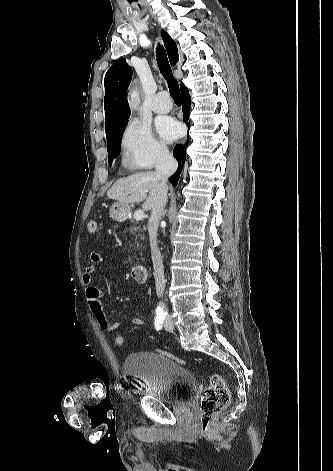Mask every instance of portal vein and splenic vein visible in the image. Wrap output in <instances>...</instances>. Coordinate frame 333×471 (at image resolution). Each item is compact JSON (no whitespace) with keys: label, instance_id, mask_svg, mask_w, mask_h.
<instances>
[{"label":"portal vein and splenic vein","instance_id":"obj_1","mask_svg":"<svg viewBox=\"0 0 333 471\" xmlns=\"http://www.w3.org/2000/svg\"><path fill=\"white\" fill-rule=\"evenodd\" d=\"M144 217H145V214H144L143 210L135 211V213H134V219L135 220L139 221V220H142Z\"/></svg>","mask_w":333,"mask_h":471}]
</instances>
